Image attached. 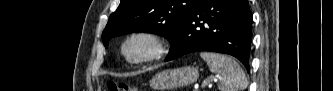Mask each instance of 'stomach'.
Masks as SVG:
<instances>
[{"instance_id": "1", "label": "stomach", "mask_w": 333, "mask_h": 91, "mask_svg": "<svg viewBox=\"0 0 333 91\" xmlns=\"http://www.w3.org/2000/svg\"><path fill=\"white\" fill-rule=\"evenodd\" d=\"M199 72L196 67L184 66L173 70H164L150 80V86L157 91L188 86L197 81Z\"/></svg>"}]
</instances>
